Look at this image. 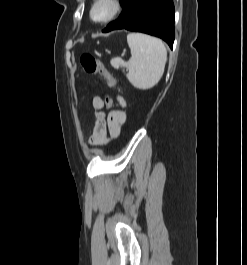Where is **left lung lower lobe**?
I'll use <instances>...</instances> for the list:
<instances>
[{
	"instance_id": "0a47b994",
	"label": "left lung lower lobe",
	"mask_w": 247,
	"mask_h": 265,
	"mask_svg": "<svg viewBox=\"0 0 247 265\" xmlns=\"http://www.w3.org/2000/svg\"><path fill=\"white\" fill-rule=\"evenodd\" d=\"M123 11L103 32L127 29L162 38L172 48L174 5L172 0H120Z\"/></svg>"
}]
</instances>
